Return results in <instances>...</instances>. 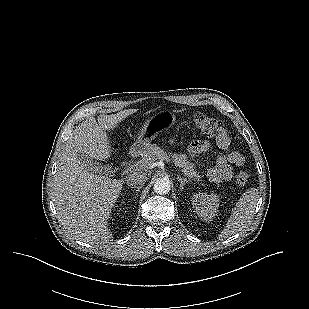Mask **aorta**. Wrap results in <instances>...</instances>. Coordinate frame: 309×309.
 <instances>
[{
  "label": "aorta",
  "instance_id": "aorta-1",
  "mask_svg": "<svg viewBox=\"0 0 309 309\" xmlns=\"http://www.w3.org/2000/svg\"><path fill=\"white\" fill-rule=\"evenodd\" d=\"M155 193L159 194V195H164L167 194L170 191V183L167 180L161 179V180H157L154 183V187H153Z\"/></svg>",
  "mask_w": 309,
  "mask_h": 309
}]
</instances>
